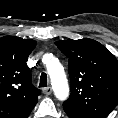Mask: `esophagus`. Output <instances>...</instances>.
Returning <instances> with one entry per match:
<instances>
[{"instance_id": "34e87169", "label": "esophagus", "mask_w": 118, "mask_h": 118, "mask_svg": "<svg viewBox=\"0 0 118 118\" xmlns=\"http://www.w3.org/2000/svg\"><path fill=\"white\" fill-rule=\"evenodd\" d=\"M43 93L46 95H50L52 93V88L50 86L43 88Z\"/></svg>"}]
</instances>
